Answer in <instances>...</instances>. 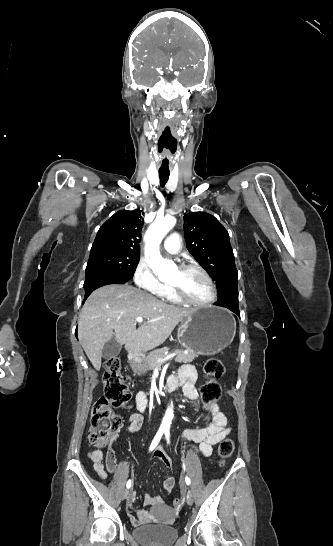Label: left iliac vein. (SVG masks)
<instances>
[{
  "label": "left iliac vein",
  "mask_w": 333,
  "mask_h": 546,
  "mask_svg": "<svg viewBox=\"0 0 333 546\" xmlns=\"http://www.w3.org/2000/svg\"><path fill=\"white\" fill-rule=\"evenodd\" d=\"M183 489L185 491H187V495H186V502L188 505H192L193 504V496H192V493L190 490L187 489L186 486H183Z\"/></svg>",
  "instance_id": "obj_1"
}]
</instances>
